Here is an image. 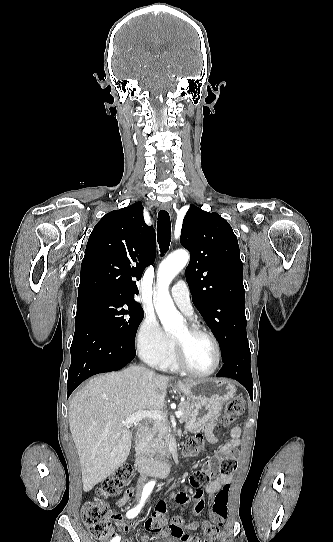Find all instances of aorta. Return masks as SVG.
Returning a JSON list of instances; mask_svg holds the SVG:
<instances>
[{
  "instance_id": "1",
  "label": "aorta",
  "mask_w": 333,
  "mask_h": 542,
  "mask_svg": "<svg viewBox=\"0 0 333 542\" xmlns=\"http://www.w3.org/2000/svg\"><path fill=\"white\" fill-rule=\"evenodd\" d=\"M189 260L188 252L177 250L161 262L158 270V284L155 298V310L165 332L183 328V318L177 312L169 294V284L183 270Z\"/></svg>"
}]
</instances>
